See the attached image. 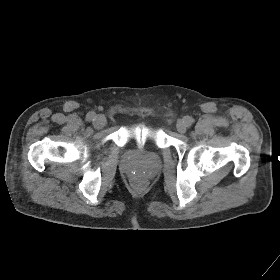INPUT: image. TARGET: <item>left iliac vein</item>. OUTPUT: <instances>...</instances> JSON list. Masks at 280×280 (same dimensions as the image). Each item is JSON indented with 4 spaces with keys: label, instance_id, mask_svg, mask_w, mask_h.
<instances>
[{
    "label": "left iliac vein",
    "instance_id": "1",
    "mask_svg": "<svg viewBox=\"0 0 280 280\" xmlns=\"http://www.w3.org/2000/svg\"><path fill=\"white\" fill-rule=\"evenodd\" d=\"M187 127H188V126H187V124L185 123L184 120L179 119V120L177 121L176 129H177V131H178L179 133H185L186 130H187Z\"/></svg>",
    "mask_w": 280,
    "mask_h": 280
}]
</instances>
